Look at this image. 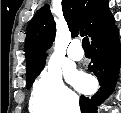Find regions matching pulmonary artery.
Returning <instances> with one entry per match:
<instances>
[{
	"label": "pulmonary artery",
	"instance_id": "e3ab8cb5",
	"mask_svg": "<svg viewBox=\"0 0 121 113\" xmlns=\"http://www.w3.org/2000/svg\"><path fill=\"white\" fill-rule=\"evenodd\" d=\"M68 57L73 61H80L83 58V51L78 42H72L67 50Z\"/></svg>",
	"mask_w": 121,
	"mask_h": 113
}]
</instances>
